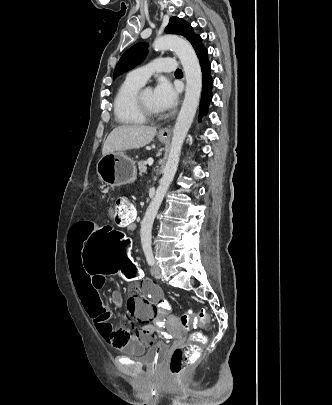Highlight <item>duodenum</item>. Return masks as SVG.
I'll use <instances>...</instances> for the list:
<instances>
[{"instance_id": "410a0bca", "label": "duodenum", "mask_w": 332, "mask_h": 405, "mask_svg": "<svg viewBox=\"0 0 332 405\" xmlns=\"http://www.w3.org/2000/svg\"><path fill=\"white\" fill-rule=\"evenodd\" d=\"M126 225L129 230L134 231L137 228L136 218H131Z\"/></svg>"}]
</instances>
